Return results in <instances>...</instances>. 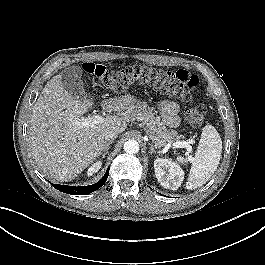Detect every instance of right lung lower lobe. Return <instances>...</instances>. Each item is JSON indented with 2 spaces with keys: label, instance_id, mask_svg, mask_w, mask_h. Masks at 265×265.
I'll return each instance as SVG.
<instances>
[{
  "label": "right lung lower lobe",
  "instance_id": "right-lung-lower-lobe-1",
  "mask_svg": "<svg viewBox=\"0 0 265 265\" xmlns=\"http://www.w3.org/2000/svg\"><path fill=\"white\" fill-rule=\"evenodd\" d=\"M108 175H109V169L106 171L105 175L103 176V178L100 181H98L97 183H95L93 185H89V186L75 187V186L54 184V187L57 190L64 192V193L73 194V195H85V194H89L93 191H96L97 189L102 187L103 184L106 182Z\"/></svg>",
  "mask_w": 265,
  "mask_h": 265
}]
</instances>
